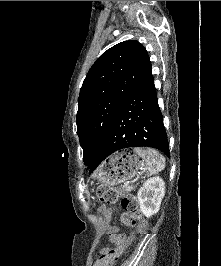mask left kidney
I'll return each instance as SVG.
<instances>
[{"mask_svg":"<svg viewBox=\"0 0 221 266\" xmlns=\"http://www.w3.org/2000/svg\"><path fill=\"white\" fill-rule=\"evenodd\" d=\"M165 195V183L160 177L148 179L138 191L141 212L147 217L156 214Z\"/></svg>","mask_w":221,"mask_h":266,"instance_id":"left-kidney-1","label":"left kidney"}]
</instances>
